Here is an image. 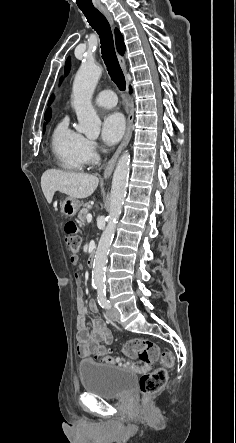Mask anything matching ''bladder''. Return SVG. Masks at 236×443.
Instances as JSON below:
<instances>
[{
	"mask_svg": "<svg viewBox=\"0 0 236 443\" xmlns=\"http://www.w3.org/2000/svg\"><path fill=\"white\" fill-rule=\"evenodd\" d=\"M79 375L84 391L103 399L122 398L128 395L136 383L133 371L83 359Z\"/></svg>",
	"mask_w": 236,
	"mask_h": 443,
	"instance_id": "bladder-1",
	"label": "bladder"
}]
</instances>
